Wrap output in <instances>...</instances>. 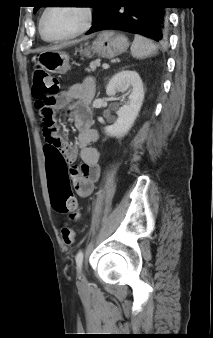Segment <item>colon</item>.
<instances>
[{"mask_svg":"<svg viewBox=\"0 0 213 338\" xmlns=\"http://www.w3.org/2000/svg\"><path fill=\"white\" fill-rule=\"evenodd\" d=\"M59 90V81L42 69H36L32 74V96L37 102L39 116L43 123L42 135L46 144H57L59 138L53 136L55 130L53 108L54 95ZM51 192V203L55 211L69 213L79 218L78 204L72 192L63 185H57ZM61 239L64 244L70 245L75 238L72 228L65 225L61 228Z\"/></svg>","mask_w":213,"mask_h":338,"instance_id":"1","label":"colon"}]
</instances>
